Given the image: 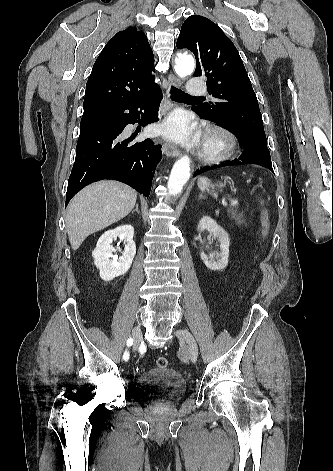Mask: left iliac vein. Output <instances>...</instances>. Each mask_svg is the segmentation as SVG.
<instances>
[{
  "instance_id": "1",
  "label": "left iliac vein",
  "mask_w": 333,
  "mask_h": 471,
  "mask_svg": "<svg viewBox=\"0 0 333 471\" xmlns=\"http://www.w3.org/2000/svg\"><path fill=\"white\" fill-rule=\"evenodd\" d=\"M176 336L187 344L186 351L193 363L197 361L198 357V345L194 336L185 329H178L175 331Z\"/></svg>"
}]
</instances>
